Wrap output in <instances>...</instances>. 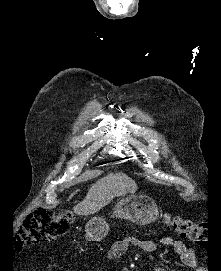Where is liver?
I'll return each mask as SVG.
<instances>
[{"label":"liver","instance_id":"1","mask_svg":"<svg viewBox=\"0 0 221 271\" xmlns=\"http://www.w3.org/2000/svg\"><path fill=\"white\" fill-rule=\"evenodd\" d=\"M118 181L119 175H112V177H103V179H99V181L93 183L85 199L73 207L75 213H79V215L96 213V211L108 205L115 195L125 193V191H117V193H114L112 187L116 185ZM72 195H74V193H72Z\"/></svg>","mask_w":221,"mask_h":271}]
</instances>
